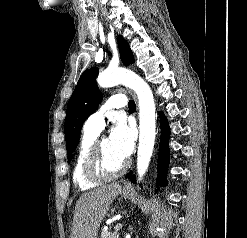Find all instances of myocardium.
<instances>
[{
	"mask_svg": "<svg viewBox=\"0 0 247 238\" xmlns=\"http://www.w3.org/2000/svg\"><path fill=\"white\" fill-rule=\"evenodd\" d=\"M106 137H98L85 160L84 163V174L89 180L93 181H106L115 179L125 173L129 167V162L126 160L122 166L114 171L108 170L103 162L102 155V143Z\"/></svg>",
	"mask_w": 247,
	"mask_h": 238,
	"instance_id": "obj_1",
	"label": "myocardium"
}]
</instances>
